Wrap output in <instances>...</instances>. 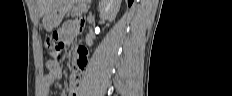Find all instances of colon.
<instances>
[{
  "label": "colon",
  "mask_w": 232,
  "mask_h": 96,
  "mask_svg": "<svg viewBox=\"0 0 232 96\" xmlns=\"http://www.w3.org/2000/svg\"><path fill=\"white\" fill-rule=\"evenodd\" d=\"M47 47L52 50V52L56 55H58L59 51L64 47V44L62 43L60 36L57 32H54L47 38ZM59 63L57 62H50L49 63V69L52 72H55L59 69Z\"/></svg>",
  "instance_id": "obj_1"
}]
</instances>
